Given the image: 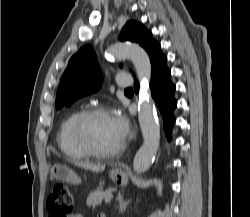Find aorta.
Returning <instances> with one entry per match:
<instances>
[{
  "label": "aorta",
  "mask_w": 250,
  "mask_h": 217,
  "mask_svg": "<svg viewBox=\"0 0 250 217\" xmlns=\"http://www.w3.org/2000/svg\"><path fill=\"white\" fill-rule=\"evenodd\" d=\"M107 55L113 58H129L138 78L145 85L151 78V63L147 52L137 44L117 43L109 47ZM138 119L143 135V144L133 160L136 173L146 171L152 164L160 141V127L153 102L148 93L141 91L138 103Z\"/></svg>",
  "instance_id": "1"
}]
</instances>
